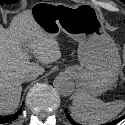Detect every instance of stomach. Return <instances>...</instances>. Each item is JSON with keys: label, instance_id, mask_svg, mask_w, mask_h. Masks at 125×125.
I'll list each match as a JSON object with an SVG mask.
<instances>
[{"label": "stomach", "instance_id": "stomach-1", "mask_svg": "<svg viewBox=\"0 0 125 125\" xmlns=\"http://www.w3.org/2000/svg\"><path fill=\"white\" fill-rule=\"evenodd\" d=\"M31 15L47 35L56 37L63 31L79 43L80 66L66 69L79 92L96 97L116 84L121 67L118 48L94 11L80 5L37 3Z\"/></svg>", "mask_w": 125, "mask_h": 125}]
</instances>
